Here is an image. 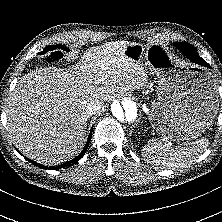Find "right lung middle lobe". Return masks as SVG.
Wrapping results in <instances>:
<instances>
[{"instance_id": "dd1d6c3e", "label": "right lung middle lobe", "mask_w": 222, "mask_h": 222, "mask_svg": "<svg viewBox=\"0 0 222 222\" xmlns=\"http://www.w3.org/2000/svg\"><path fill=\"white\" fill-rule=\"evenodd\" d=\"M57 48V47H56ZM58 48H61V49H63V50H67L68 51V49L66 48V47H63L62 45H60Z\"/></svg>"}]
</instances>
